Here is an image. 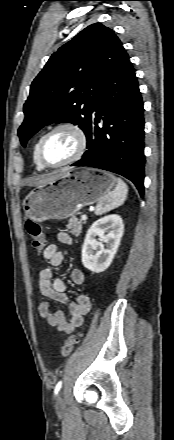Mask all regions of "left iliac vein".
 I'll use <instances>...</instances> for the list:
<instances>
[{
  "label": "left iliac vein",
  "instance_id": "1",
  "mask_svg": "<svg viewBox=\"0 0 174 440\" xmlns=\"http://www.w3.org/2000/svg\"><path fill=\"white\" fill-rule=\"evenodd\" d=\"M55 409L58 414H63L65 412V402L62 393H59L56 397Z\"/></svg>",
  "mask_w": 174,
  "mask_h": 440
}]
</instances>
